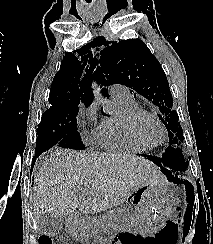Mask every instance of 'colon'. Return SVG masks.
Wrapping results in <instances>:
<instances>
[{"mask_svg": "<svg viewBox=\"0 0 213 244\" xmlns=\"http://www.w3.org/2000/svg\"><path fill=\"white\" fill-rule=\"evenodd\" d=\"M39 244H52V240L49 236H42L39 239Z\"/></svg>", "mask_w": 213, "mask_h": 244, "instance_id": "1", "label": "colon"}]
</instances>
